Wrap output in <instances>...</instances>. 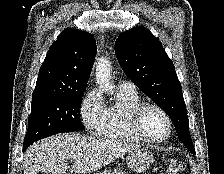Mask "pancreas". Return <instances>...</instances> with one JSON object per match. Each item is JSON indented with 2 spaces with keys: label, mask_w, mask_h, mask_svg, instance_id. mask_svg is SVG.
Returning <instances> with one entry per match:
<instances>
[{
  "label": "pancreas",
  "mask_w": 224,
  "mask_h": 174,
  "mask_svg": "<svg viewBox=\"0 0 224 174\" xmlns=\"http://www.w3.org/2000/svg\"><path fill=\"white\" fill-rule=\"evenodd\" d=\"M99 174H104V173H99ZM105 174H120V173H117V172L111 173V171L106 170Z\"/></svg>",
  "instance_id": "obj_1"
}]
</instances>
